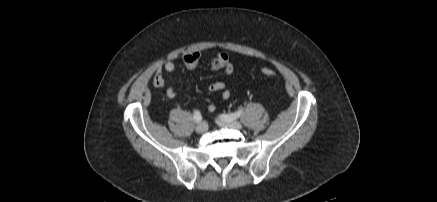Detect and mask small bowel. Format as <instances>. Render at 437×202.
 <instances>
[{
    "label": "small bowel",
    "mask_w": 437,
    "mask_h": 202,
    "mask_svg": "<svg viewBox=\"0 0 437 202\" xmlns=\"http://www.w3.org/2000/svg\"><path fill=\"white\" fill-rule=\"evenodd\" d=\"M200 57L201 55L197 51L189 52L183 57L184 65L189 69H194L198 65ZM210 67L213 70H223L227 75H231L234 72V67L230 61V58L224 52L217 53L211 58ZM175 68L176 65L173 61H168L159 67L154 75V85L158 88H164L166 84L163 78V72L172 73ZM208 90L210 92H221V97L223 100H228L231 96V92L227 88V85L221 81H214L210 83ZM166 96L169 99H174L176 97L175 88L172 86L166 87ZM208 110L213 112L216 110V106L214 104H210L208 106Z\"/></svg>",
    "instance_id": "small-bowel-1"
}]
</instances>
